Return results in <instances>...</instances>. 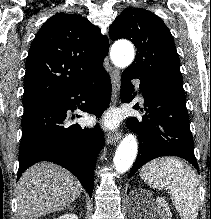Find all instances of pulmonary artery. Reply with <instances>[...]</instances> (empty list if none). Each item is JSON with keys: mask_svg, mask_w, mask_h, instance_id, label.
Returning <instances> with one entry per match:
<instances>
[{"mask_svg": "<svg viewBox=\"0 0 211 219\" xmlns=\"http://www.w3.org/2000/svg\"><path fill=\"white\" fill-rule=\"evenodd\" d=\"M136 85H137V87H139V83L138 82L136 83Z\"/></svg>", "mask_w": 211, "mask_h": 219, "instance_id": "pulmonary-artery-1", "label": "pulmonary artery"}]
</instances>
